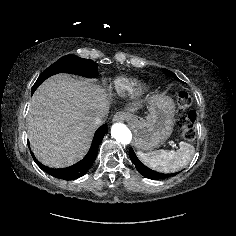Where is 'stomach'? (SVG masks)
Wrapping results in <instances>:
<instances>
[{"mask_svg":"<svg viewBox=\"0 0 236 236\" xmlns=\"http://www.w3.org/2000/svg\"><path fill=\"white\" fill-rule=\"evenodd\" d=\"M174 102L165 95L150 99L149 114L142 118L133 112L126 117L134 132V145L139 150L149 151L165 142L174 127Z\"/></svg>","mask_w":236,"mask_h":236,"instance_id":"1","label":"stomach"}]
</instances>
